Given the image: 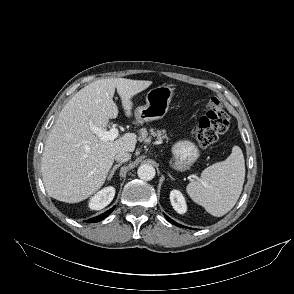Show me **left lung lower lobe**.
I'll list each match as a JSON object with an SVG mask.
<instances>
[{
    "mask_svg": "<svg viewBox=\"0 0 294 294\" xmlns=\"http://www.w3.org/2000/svg\"><path fill=\"white\" fill-rule=\"evenodd\" d=\"M164 216H165V218H166L169 222H171L172 224H174V225H176V226H178V227L186 228L185 226L180 225V224L174 222V221H173L172 219H170L168 216H166V215H164Z\"/></svg>",
    "mask_w": 294,
    "mask_h": 294,
    "instance_id": "left-lung-lower-lobe-1",
    "label": "left lung lower lobe"
}]
</instances>
